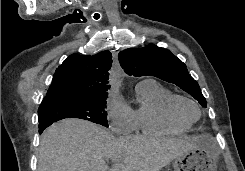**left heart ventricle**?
<instances>
[{
    "label": "left heart ventricle",
    "mask_w": 245,
    "mask_h": 171,
    "mask_svg": "<svg viewBox=\"0 0 245 171\" xmlns=\"http://www.w3.org/2000/svg\"><path fill=\"white\" fill-rule=\"evenodd\" d=\"M179 111L182 116L188 120H195L198 116V112L195 107L186 102L180 104Z\"/></svg>",
    "instance_id": "left-heart-ventricle-1"
}]
</instances>
